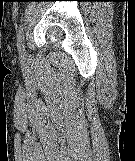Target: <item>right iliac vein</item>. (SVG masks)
<instances>
[{
	"label": "right iliac vein",
	"mask_w": 135,
	"mask_h": 161,
	"mask_svg": "<svg viewBox=\"0 0 135 161\" xmlns=\"http://www.w3.org/2000/svg\"><path fill=\"white\" fill-rule=\"evenodd\" d=\"M22 58H23L25 61H27V60L29 59V56H28V54H27L25 48H24V52H23V54H22Z\"/></svg>",
	"instance_id": "obj_1"
}]
</instances>
